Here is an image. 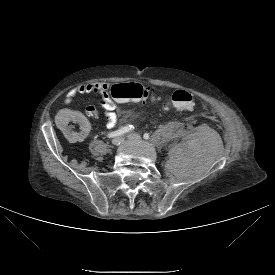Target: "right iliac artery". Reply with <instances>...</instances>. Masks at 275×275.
Returning a JSON list of instances; mask_svg holds the SVG:
<instances>
[{
    "label": "right iliac artery",
    "instance_id": "right-iliac-artery-1",
    "mask_svg": "<svg viewBox=\"0 0 275 275\" xmlns=\"http://www.w3.org/2000/svg\"><path fill=\"white\" fill-rule=\"evenodd\" d=\"M133 129H134V127L132 125H128V126L120 128L116 131L110 132L107 136H108V138H114L116 136L124 135L125 133L132 131Z\"/></svg>",
    "mask_w": 275,
    "mask_h": 275
}]
</instances>
